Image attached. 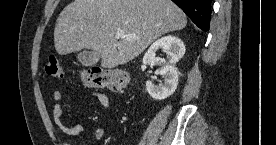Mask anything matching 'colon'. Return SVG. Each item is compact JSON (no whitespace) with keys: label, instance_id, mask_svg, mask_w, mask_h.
Masks as SVG:
<instances>
[{"label":"colon","instance_id":"obj_1","mask_svg":"<svg viewBox=\"0 0 276 145\" xmlns=\"http://www.w3.org/2000/svg\"><path fill=\"white\" fill-rule=\"evenodd\" d=\"M43 71L46 76L62 79L63 72L60 61L50 56L44 64ZM82 83L93 88H107L114 91H125L129 85L128 75L125 71L116 68L92 66L79 72Z\"/></svg>","mask_w":276,"mask_h":145}]
</instances>
